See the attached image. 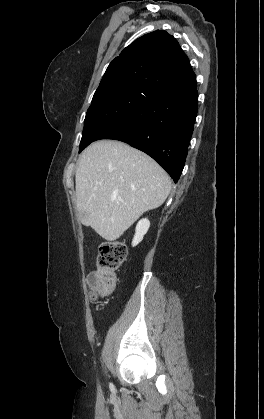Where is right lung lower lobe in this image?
I'll return each mask as SVG.
<instances>
[{
	"label": "right lung lower lobe",
	"instance_id": "98d812e1",
	"mask_svg": "<svg viewBox=\"0 0 264 419\" xmlns=\"http://www.w3.org/2000/svg\"><path fill=\"white\" fill-rule=\"evenodd\" d=\"M197 84L153 95L101 139L128 143L156 160L177 182L197 116Z\"/></svg>",
	"mask_w": 264,
	"mask_h": 419
}]
</instances>
